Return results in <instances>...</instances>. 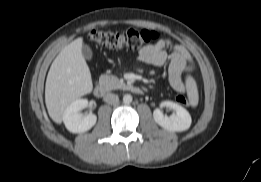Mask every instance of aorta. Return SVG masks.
I'll return each mask as SVG.
<instances>
[{"mask_svg":"<svg viewBox=\"0 0 261 182\" xmlns=\"http://www.w3.org/2000/svg\"><path fill=\"white\" fill-rule=\"evenodd\" d=\"M132 96L130 95V94H125L124 96H123V102L125 103V104H130L131 102H132Z\"/></svg>","mask_w":261,"mask_h":182,"instance_id":"762f6f07","label":"aorta"}]
</instances>
